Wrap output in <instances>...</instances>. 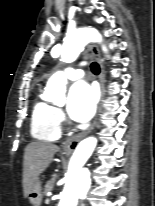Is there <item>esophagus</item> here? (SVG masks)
<instances>
[{"label":"esophagus","mask_w":155,"mask_h":206,"mask_svg":"<svg viewBox=\"0 0 155 206\" xmlns=\"http://www.w3.org/2000/svg\"><path fill=\"white\" fill-rule=\"evenodd\" d=\"M90 51L92 52L93 56L96 58V60L99 63V66H100L99 82H100L101 96H103L104 95V88H105L104 66H103L102 60L100 58L99 49H98L97 45H95V44L90 45ZM99 113H100V108L98 109V114H97L95 120L93 121V123L91 124V126L88 129H86L85 131H83V132H81V133H79L71 138H68L65 142H63L62 150L66 154L72 153L75 150V148L77 147L78 143L94 129L95 125L97 124Z\"/></svg>","instance_id":"34e87169"}]
</instances>
